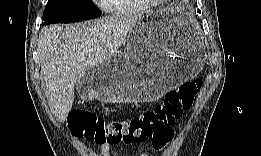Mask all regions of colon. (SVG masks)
Segmentation results:
<instances>
[{
    "label": "colon",
    "mask_w": 261,
    "mask_h": 156,
    "mask_svg": "<svg viewBox=\"0 0 261 156\" xmlns=\"http://www.w3.org/2000/svg\"><path fill=\"white\" fill-rule=\"evenodd\" d=\"M203 85L196 79L183 83L170 91L163 101L129 119L107 121L88 110H75L70 114L68 126L78 137L94 140L98 144H137L152 138L156 150L172 139L170 126L193 105L195 95Z\"/></svg>",
    "instance_id": "colon-1"
}]
</instances>
